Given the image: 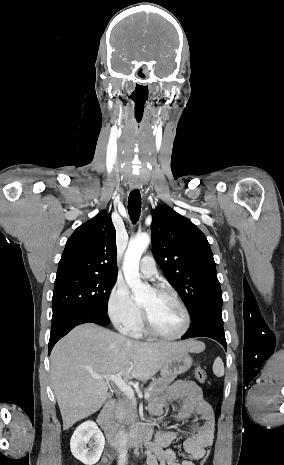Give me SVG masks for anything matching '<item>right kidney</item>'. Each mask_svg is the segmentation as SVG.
Here are the masks:
<instances>
[{"instance_id":"right-kidney-1","label":"right kidney","mask_w":284,"mask_h":465,"mask_svg":"<svg viewBox=\"0 0 284 465\" xmlns=\"http://www.w3.org/2000/svg\"><path fill=\"white\" fill-rule=\"evenodd\" d=\"M89 445L87 449L86 445ZM105 439L103 433L93 421H86L75 429L71 441V453L75 459L82 461L84 465L98 463L104 449Z\"/></svg>"}]
</instances>
